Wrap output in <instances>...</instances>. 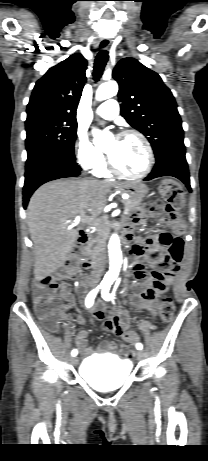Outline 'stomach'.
Masks as SVG:
<instances>
[{
	"mask_svg": "<svg viewBox=\"0 0 208 461\" xmlns=\"http://www.w3.org/2000/svg\"><path fill=\"white\" fill-rule=\"evenodd\" d=\"M122 193H128L133 199H141L146 196L149 188L142 182H126L118 188Z\"/></svg>",
	"mask_w": 208,
	"mask_h": 461,
	"instance_id": "obj_1",
	"label": "stomach"
}]
</instances>
